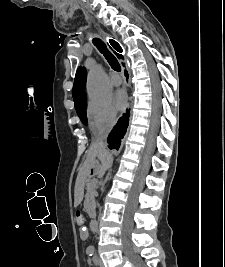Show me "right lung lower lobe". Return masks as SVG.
<instances>
[{
	"label": "right lung lower lobe",
	"mask_w": 225,
	"mask_h": 267,
	"mask_svg": "<svg viewBox=\"0 0 225 267\" xmlns=\"http://www.w3.org/2000/svg\"><path fill=\"white\" fill-rule=\"evenodd\" d=\"M129 113L127 112L124 117L120 118L117 125L114 127L113 131L110 133L108 137V147L110 149H118L121 139V130L122 127L128 124Z\"/></svg>",
	"instance_id": "obj_1"
}]
</instances>
